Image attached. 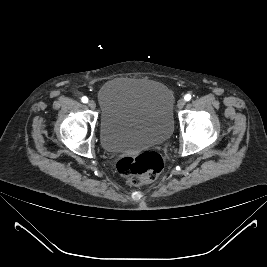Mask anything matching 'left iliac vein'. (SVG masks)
I'll return each mask as SVG.
<instances>
[{
    "label": "left iliac vein",
    "mask_w": 267,
    "mask_h": 267,
    "mask_svg": "<svg viewBox=\"0 0 267 267\" xmlns=\"http://www.w3.org/2000/svg\"><path fill=\"white\" fill-rule=\"evenodd\" d=\"M185 103H186L185 99H184V98H181V99H179L178 102H177V107H178L179 109H182V108L184 107Z\"/></svg>",
    "instance_id": "1"
}]
</instances>
